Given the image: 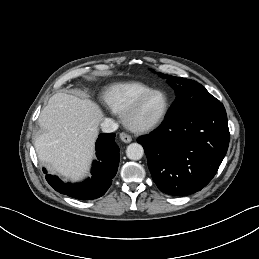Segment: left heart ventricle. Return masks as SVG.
Instances as JSON below:
<instances>
[{"label":"left heart ventricle","instance_id":"obj_1","mask_svg":"<svg viewBox=\"0 0 259 259\" xmlns=\"http://www.w3.org/2000/svg\"><path fill=\"white\" fill-rule=\"evenodd\" d=\"M166 104V98L162 93L151 95L139 110L136 121L139 123H148L156 120L163 112Z\"/></svg>","mask_w":259,"mask_h":259}]
</instances>
